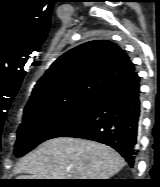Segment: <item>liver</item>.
<instances>
[{
	"instance_id": "6515ba94",
	"label": "liver",
	"mask_w": 160,
	"mask_h": 187,
	"mask_svg": "<svg viewBox=\"0 0 160 187\" xmlns=\"http://www.w3.org/2000/svg\"><path fill=\"white\" fill-rule=\"evenodd\" d=\"M124 159L104 144L71 137L47 140L19 160V179H109Z\"/></svg>"
}]
</instances>
